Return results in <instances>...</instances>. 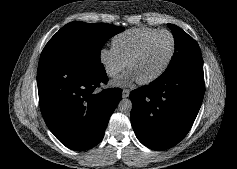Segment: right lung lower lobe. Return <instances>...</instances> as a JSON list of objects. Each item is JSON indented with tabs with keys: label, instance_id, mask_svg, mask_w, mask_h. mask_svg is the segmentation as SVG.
<instances>
[{
	"label": "right lung lower lobe",
	"instance_id": "obj_1",
	"mask_svg": "<svg viewBox=\"0 0 237 169\" xmlns=\"http://www.w3.org/2000/svg\"><path fill=\"white\" fill-rule=\"evenodd\" d=\"M108 77L103 64L40 60L37 83L43 118L66 147L83 151L103 138L122 90H94Z\"/></svg>",
	"mask_w": 237,
	"mask_h": 169
}]
</instances>
